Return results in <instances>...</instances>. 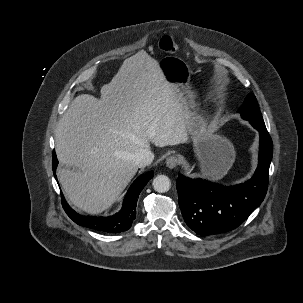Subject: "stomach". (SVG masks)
<instances>
[{
    "label": "stomach",
    "mask_w": 303,
    "mask_h": 303,
    "mask_svg": "<svg viewBox=\"0 0 303 303\" xmlns=\"http://www.w3.org/2000/svg\"><path fill=\"white\" fill-rule=\"evenodd\" d=\"M159 67L174 89L182 95L190 113L188 130L201 172L208 178L221 179L235 160L234 146L225 137L213 133L207 120L197 114L195 96L189 86V65L181 58L166 56L159 61Z\"/></svg>",
    "instance_id": "obj_1"
}]
</instances>
